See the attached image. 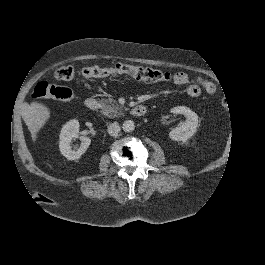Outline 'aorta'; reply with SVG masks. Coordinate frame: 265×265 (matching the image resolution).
Segmentation results:
<instances>
[{"instance_id":"aorta-1","label":"aorta","mask_w":265,"mask_h":265,"mask_svg":"<svg viewBox=\"0 0 265 265\" xmlns=\"http://www.w3.org/2000/svg\"><path fill=\"white\" fill-rule=\"evenodd\" d=\"M122 128L125 132H132L135 129L134 121L132 120L124 121Z\"/></svg>"}]
</instances>
